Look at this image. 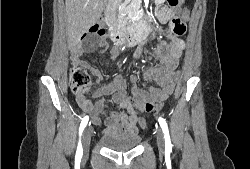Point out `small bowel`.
Segmentation results:
<instances>
[{
    "instance_id": "obj_1",
    "label": "small bowel",
    "mask_w": 250,
    "mask_h": 169,
    "mask_svg": "<svg viewBox=\"0 0 250 169\" xmlns=\"http://www.w3.org/2000/svg\"><path fill=\"white\" fill-rule=\"evenodd\" d=\"M188 16V11L179 7L174 17L170 13L166 17L174 25L175 20H180L184 23L188 19ZM168 39V44H158L152 52L158 63L142 74L145 81L154 82L156 85L150 86L148 89H142L139 86V76L133 74L131 76V96L127 94L126 83L121 75H116L110 81H105L98 68L78 59L87 52L85 49L76 48L73 51L78 65L83 69L89 70L95 78L96 83L100 84L99 88L93 93V97L100 98L95 103L86 96H76V101L80 108L90 114L94 123H99L100 116L105 113L106 100L104 97H110L111 101L119 107L118 111L108 113V118L104 123L107 133L135 134L139 120L136 119L137 115L131 114V111L134 109L132 104L144 103V98H148V95H156V91H168V95L172 94L179 77L178 66L182 56L183 42L177 37L169 36ZM100 45L104 46L105 44L101 42ZM140 54L141 52H138L137 56ZM139 109L141 110L142 108Z\"/></svg>"
}]
</instances>
